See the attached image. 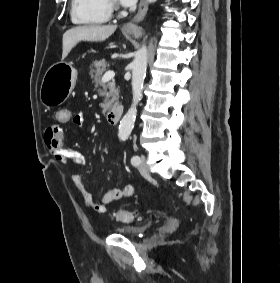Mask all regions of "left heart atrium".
<instances>
[{"label":"left heart atrium","mask_w":280,"mask_h":283,"mask_svg":"<svg viewBox=\"0 0 280 283\" xmlns=\"http://www.w3.org/2000/svg\"><path fill=\"white\" fill-rule=\"evenodd\" d=\"M137 0H120L121 4L124 6H132Z\"/></svg>","instance_id":"left-heart-atrium-1"}]
</instances>
